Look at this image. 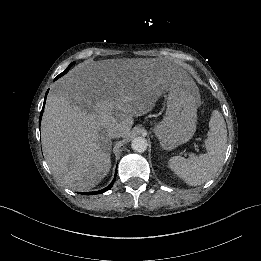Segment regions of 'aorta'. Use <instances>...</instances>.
<instances>
[{
  "mask_svg": "<svg viewBox=\"0 0 261 261\" xmlns=\"http://www.w3.org/2000/svg\"><path fill=\"white\" fill-rule=\"evenodd\" d=\"M147 147V140L142 136L135 137L131 142V148L135 152L143 153L146 151Z\"/></svg>",
  "mask_w": 261,
  "mask_h": 261,
  "instance_id": "aorta-1",
  "label": "aorta"
}]
</instances>
